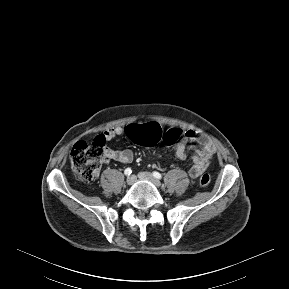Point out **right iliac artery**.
<instances>
[{
  "instance_id": "1",
  "label": "right iliac artery",
  "mask_w": 289,
  "mask_h": 289,
  "mask_svg": "<svg viewBox=\"0 0 289 289\" xmlns=\"http://www.w3.org/2000/svg\"><path fill=\"white\" fill-rule=\"evenodd\" d=\"M131 173H132V169L129 168V167L126 168L125 171H124V174H125V175H130Z\"/></svg>"
}]
</instances>
